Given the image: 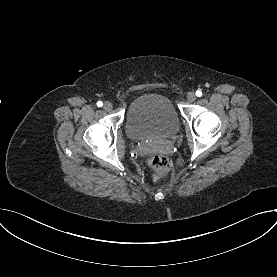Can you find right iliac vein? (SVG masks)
I'll list each match as a JSON object with an SVG mask.
<instances>
[{"instance_id":"obj_1","label":"right iliac vein","mask_w":277,"mask_h":277,"mask_svg":"<svg viewBox=\"0 0 277 277\" xmlns=\"http://www.w3.org/2000/svg\"><path fill=\"white\" fill-rule=\"evenodd\" d=\"M113 108L112 104L110 102H105L103 105V109L106 111H111Z\"/></svg>"}]
</instances>
